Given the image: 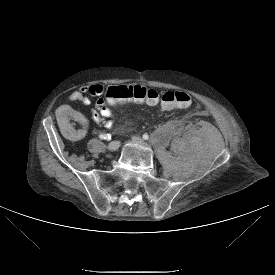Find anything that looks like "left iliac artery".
Here are the masks:
<instances>
[{"instance_id":"obj_1","label":"left iliac artery","mask_w":275,"mask_h":275,"mask_svg":"<svg viewBox=\"0 0 275 275\" xmlns=\"http://www.w3.org/2000/svg\"><path fill=\"white\" fill-rule=\"evenodd\" d=\"M148 138H149L148 134L145 133V134L143 135V139H144V140H148Z\"/></svg>"}]
</instances>
